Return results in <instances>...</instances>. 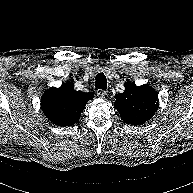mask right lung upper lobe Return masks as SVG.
I'll return each mask as SVG.
<instances>
[{"label": "right lung upper lobe", "mask_w": 193, "mask_h": 193, "mask_svg": "<svg viewBox=\"0 0 193 193\" xmlns=\"http://www.w3.org/2000/svg\"><path fill=\"white\" fill-rule=\"evenodd\" d=\"M73 82H66L60 88L51 87L41 98L44 115L55 125L70 126L78 122L87 102L94 98L91 92L76 91Z\"/></svg>", "instance_id": "cb5924a9"}]
</instances>
